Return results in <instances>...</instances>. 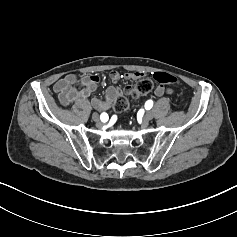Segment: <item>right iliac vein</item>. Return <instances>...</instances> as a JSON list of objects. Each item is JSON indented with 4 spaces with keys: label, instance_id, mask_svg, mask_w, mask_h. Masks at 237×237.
Returning a JSON list of instances; mask_svg holds the SVG:
<instances>
[{
    "label": "right iliac vein",
    "instance_id": "1",
    "mask_svg": "<svg viewBox=\"0 0 237 237\" xmlns=\"http://www.w3.org/2000/svg\"><path fill=\"white\" fill-rule=\"evenodd\" d=\"M92 119L98 124L101 125V121L99 119V115L97 113H93Z\"/></svg>",
    "mask_w": 237,
    "mask_h": 237
}]
</instances>
